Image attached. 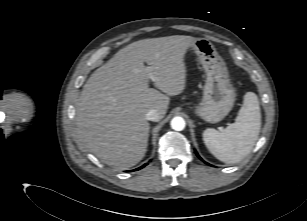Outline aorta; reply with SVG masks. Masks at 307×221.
<instances>
[{
  "label": "aorta",
  "instance_id": "1",
  "mask_svg": "<svg viewBox=\"0 0 307 221\" xmlns=\"http://www.w3.org/2000/svg\"><path fill=\"white\" fill-rule=\"evenodd\" d=\"M171 127L172 129L176 130V131H181L185 128V120L180 117V116H176L171 120Z\"/></svg>",
  "mask_w": 307,
  "mask_h": 221
}]
</instances>
